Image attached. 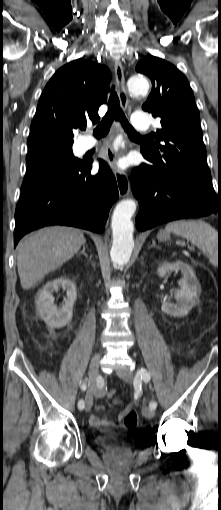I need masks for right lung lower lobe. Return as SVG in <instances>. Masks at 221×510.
Returning a JSON list of instances; mask_svg holds the SVG:
<instances>
[{"mask_svg": "<svg viewBox=\"0 0 221 510\" xmlns=\"http://www.w3.org/2000/svg\"><path fill=\"white\" fill-rule=\"evenodd\" d=\"M92 160L65 178L44 179L21 193L15 212L14 245L27 233L48 225H67L102 233L118 188L107 163L91 176Z\"/></svg>", "mask_w": 221, "mask_h": 510, "instance_id": "right-lung-lower-lobe-1", "label": "right lung lower lobe"}]
</instances>
